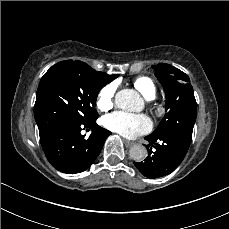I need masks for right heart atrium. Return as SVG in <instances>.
Wrapping results in <instances>:
<instances>
[{
  "label": "right heart atrium",
  "instance_id": "right-heart-atrium-1",
  "mask_svg": "<svg viewBox=\"0 0 229 229\" xmlns=\"http://www.w3.org/2000/svg\"><path fill=\"white\" fill-rule=\"evenodd\" d=\"M116 94V86L109 83L103 86L96 96V107L101 111L109 110L113 106Z\"/></svg>",
  "mask_w": 229,
  "mask_h": 229
}]
</instances>
